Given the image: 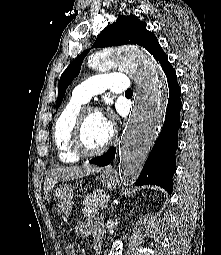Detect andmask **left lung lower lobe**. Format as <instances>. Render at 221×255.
<instances>
[{
  "mask_svg": "<svg viewBox=\"0 0 221 255\" xmlns=\"http://www.w3.org/2000/svg\"><path fill=\"white\" fill-rule=\"evenodd\" d=\"M153 57L161 65L166 74L169 86V100L161 133L135 184H155L171 194L173 189L172 176L176 172L175 152L178 148L177 133L181 126L179 115L182 108L180 100L181 88L177 83L175 70L169 63L168 57L162 48ZM114 156L115 147H112L102 156L93 158L89 162L105 166L113 160Z\"/></svg>",
  "mask_w": 221,
  "mask_h": 255,
  "instance_id": "left-lung-lower-lobe-1",
  "label": "left lung lower lobe"
}]
</instances>
